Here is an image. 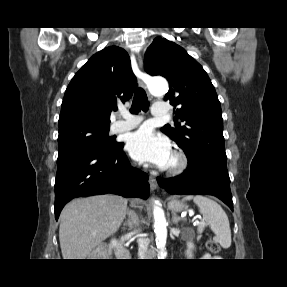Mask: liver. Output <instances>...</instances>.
Masks as SVG:
<instances>
[{"instance_id": "obj_1", "label": "liver", "mask_w": 287, "mask_h": 287, "mask_svg": "<svg viewBox=\"0 0 287 287\" xmlns=\"http://www.w3.org/2000/svg\"><path fill=\"white\" fill-rule=\"evenodd\" d=\"M126 212L127 200L115 195L79 198L68 203L60 215L63 259H86L120 228Z\"/></svg>"}]
</instances>
